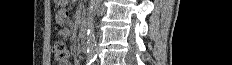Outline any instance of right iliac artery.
<instances>
[{
	"label": "right iliac artery",
	"mask_w": 232,
	"mask_h": 65,
	"mask_svg": "<svg viewBox=\"0 0 232 65\" xmlns=\"http://www.w3.org/2000/svg\"><path fill=\"white\" fill-rule=\"evenodd\" d=\"M94 61H95V58L89 57V58L87 59V65H91L92 63H94Z\"/></svg>",
	"instance_id": "right-iliac-artery-1"
}]
</instances>
